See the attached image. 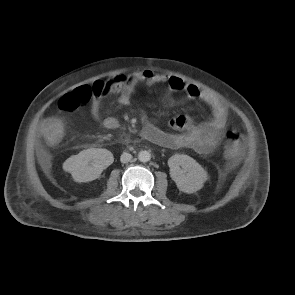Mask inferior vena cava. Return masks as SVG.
I'll use <instances>...</instances> for the list:
<instances>
[{
  "mask_svg": "<svg viewBox=\"0 0 295 295\" xmlns=\"http://www.w3.org/2000/svg\"><path fill=\"white\" fill-rule=\"evenodd\" d=\"M132 159V155L129 153H123L120 157V161L122 163H127Z\"/></svg>",
  "mask_w": 295,
  "mask_h": 295,
  "instance_id": "602c4592",
  "label": "inferior vena cava"
}]
</instances>
